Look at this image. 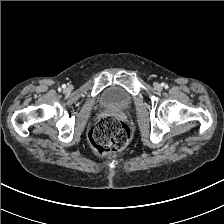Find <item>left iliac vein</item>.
Listing matches in <instances>:
<instances>
[{"label":"left iliac vein","instance_id":"1","mask_svg":"<svg viewBox=\"0 0 224 224\" xmlns=\"http://www.w3.org/2000/svg\"><path fill=\"white\" fill-rule=\"evenodd\" d=\"M154 88L157 90V91H161L162 90V86H161V84H159V83H154Z\"/></svg>","mask_w":224,"mask_h":224}]
</instances>
